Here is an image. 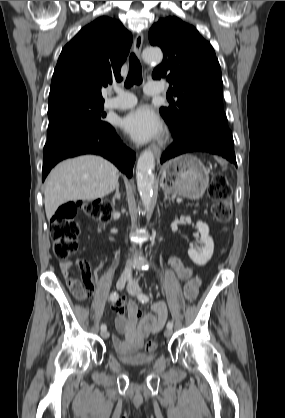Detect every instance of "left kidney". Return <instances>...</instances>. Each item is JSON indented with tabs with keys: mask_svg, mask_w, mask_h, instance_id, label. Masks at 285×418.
I'll use <instances>...</instances> for the list:
<instances>
[{
	"mask_svg": "<svg viewBox=\"0 0 285 418\" xmlns=\"http://www.w3.org/2000/svg\"><path fill=\"white\" fill-rule=\"evenodd\" d=\"M196 227L201 235V247L194 248L193 245L188 250V255L191 260L199 265L204 266L212 257L214 251V242L209 235V227L206 223L198 221Z\"/></svg>",
	"mask_w": 285,
	"mask_h": 418,
	"instance_id": "left-kidney-1",
	"label": "left kidney"
}]
</instances>
